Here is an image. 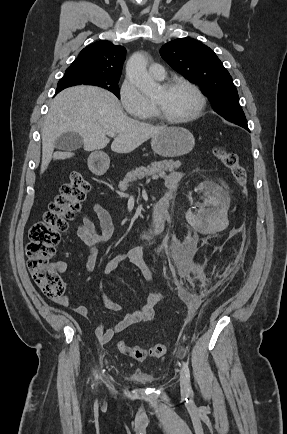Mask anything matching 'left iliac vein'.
<instances>
[{
  "instance_id": "1",
  "label": "left iliac vein",
  "mask_w": 287,
  "mask_h": 434,
  "mask_svg": "<svg viewBox=\"0 0 287 434\" xmlns=\"http://www.w3.org/2000/svg\"><path fill=\"white\" fill-rule=\"evenodd\" d=\"M180 387H181L182 395H188L189 394L188 382H187V378L185 376L184 371L180 372Z\"/></svg>"
}]
</instances>
